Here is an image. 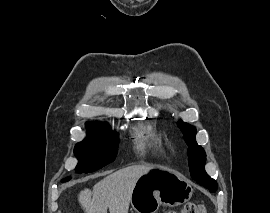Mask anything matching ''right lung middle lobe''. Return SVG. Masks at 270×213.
<instances>
[{
    "label": "right lung middle lobe",
    "instance_id": "obj_1",
    "mask_svg": "<svg viewBox=\"0 0 270 213\" xmlns=\"http://www.w3.org/2000/svg\"><path fill=\"white\" fill-rule=\"evenodd\" d=\"M88 136L74 148V154L79 163L78 173H89L114 161L118 148V134L106 130L101 123H87ZM65 178L62 182L68 181Z\"/></svg>",
    "mask_w": 270,
    "mask_h": 213
}]
</instances>
